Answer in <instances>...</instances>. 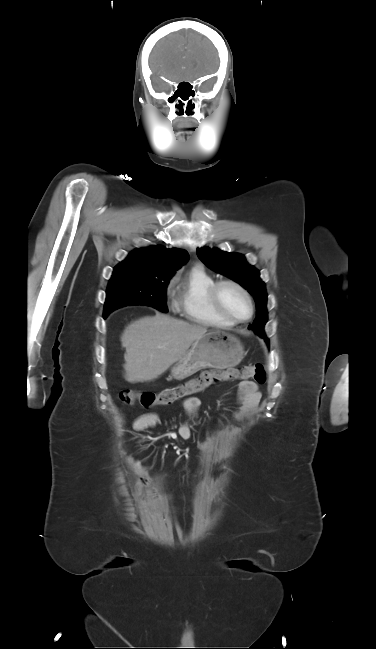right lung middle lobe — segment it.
Returning a JSON list of instances; mask_svg holds the SVG:
<instances>
[{
  "instance_id": "1",
  "label": "right lung middle lobe",
  "mask_w": 376,
  "mask_h": 649,
  "mask_svg": "<svg viewBox=\"0 0 376 649\" xmlns=\"http://www.w3.org/2000/svg\"><path fill=\"white\" fill-rule=\"evenodd\" d=\"M173 274H150L132 262L119 263L108 284L104 318L113 310L129 304L148 305L168 312L166 289Z\"/></svg>"
}]
</instances>
